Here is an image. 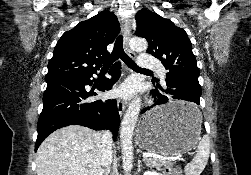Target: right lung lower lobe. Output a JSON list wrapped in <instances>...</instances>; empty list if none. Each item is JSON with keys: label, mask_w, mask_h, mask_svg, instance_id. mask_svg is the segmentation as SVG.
<instances>
[{"label": "right lung lower lobe", "mask_w": 251, "mask_h": 175, "mask_svg": "<svg viewBox=\"0 0 251 175\" xmlns=\"http://www.w3.org/2000/svg\"><path fill=\"white\" fill-rule=\"evenodd\" d=\"M120 63L112 66L109 74L112 79L105 78L97 86L99 91L111 90L118 81ZM91 75L63 78L47 82L43 95V110L40 114L35 144L37 151L42 141L53 131L68 125H82L94 130L110 129L114 139L117 137L120 116L116 100L85 101L97 93H87L85 85H91Z\"/></svg>", "instance_id": "98d812e1"}]
</instances>
